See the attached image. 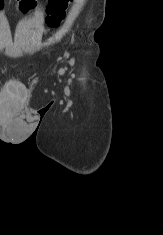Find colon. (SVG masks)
<instances>
[{
	"label": "colon",
	"mask_w": 163,
	"mask_h": 235,
	"mask_svg": "<svg viewBox=\"0 0 163 235\" xmlns=\"http://www.w3.org/2000/svg\"><path fill=\"white\" fill-rule=\"evenodd\" d=\"M73 0H48L46 6V24L49 28L58 27L65 18L66 10ZM3 0H0L2 6ZM37 0H18L19 8L28 12L36 6Z\"/></svg>",
	"instance_id": "obj_1"
}]
</instances>
